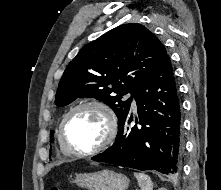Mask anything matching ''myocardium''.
Returning a JSON list of instances; mask_svg holds the SVG:
<instances>
[{"label":"myocardium","instance_id":"1","mask_svg":"<svg viewBox=\"0 0 221 190\" xmlns=\"http://www.w3.org/2000/svg\"><path fill=\"white\" fill-rule=\"evenodd\" d=\"M86 107H95V108L100 109L104 113L106 120H107V130H106L105 137L101 143H99L95 147L88 149V150H77L74 147H72L65 139V126L69 117L74 112H76L79 109L86 108ZM117 132H118V120L112 107L108 103L102 100L93 99V100L82 101L76 104L75 106L71 107L65 113V115L62 117L61 122L59 124L58 138L63 149L70 155L87 157V156H91V155L97 154L105 150L109 145L112 144V142L116 138Z\"/></svg>","mask_w":221,"mask_h":190}]
</instances>
